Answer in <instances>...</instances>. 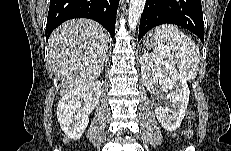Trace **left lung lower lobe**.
Wrapping results in <instances>:
<instances>
[{"instance_id":"0a47b994","label":"left lung lower lobe","mask_w":231,"mask_h":151,"mask_svg":"<svg viewBox=\"0 0 231 151\" xmlns=\"http://www.w3.org/2000/svg\"><path fill=\"white\" fill-rule=\"evenodd\" d=\"M161 24H175L196 34L204 43V22L200 0H146L140 20V40Z\"/></svg>"}]
</instances>
